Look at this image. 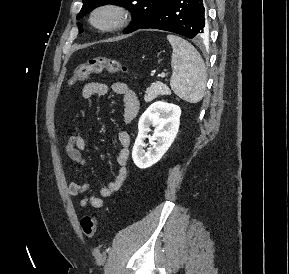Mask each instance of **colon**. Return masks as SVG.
Masks as SVG:
<instances>
[{
	"instance_id": "colon-1",
	"label": "colon",
	"mask_w": 289,
	"mask_h": 274,
	"mask_svg": "<svg viewBox=\"0 0 289 274\" xmlns=\"http://www.w3.org/2000/svg\"><path fill=\"white\" fill-rule=\"evenodd\" d=\"M127 71V67L117 60L103 56L92 57L75 68L69 83L72 85L84 81L91 74H98L101 72L116 74L127 73ZM80 225L85 236L92 238L95 235L97 231V220L95 217L89 215L82 217Z\"/></svg>"
}]
</instances>
